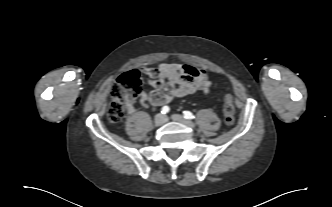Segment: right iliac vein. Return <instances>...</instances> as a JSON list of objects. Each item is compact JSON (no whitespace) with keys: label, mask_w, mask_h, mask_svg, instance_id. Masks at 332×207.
Segmentation results:
<instances>
[{"label":"right iliac vein","mask_w":332,"mask_h":207,"mask_svg":"<svg viewBox=\"0 0 332 207\" xmlns=\"http://www.w3.org/2000/svg\"><path fill=\"white\" fill-rule=\"evenodd\" d=\"M154 122L157 126H161L166 122V117L163 114H157L154 118Z\"/></svg>","instance_id":"1"}]
</instances>
